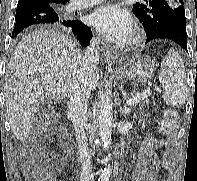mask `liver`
<instances>
[{
	"label": "liver",
	"instance_id": "obj_1",
	"mask_svg": "<svg viewBox=\"0 0 197 181\" xmlns=\"http://www.w3.org/2000/svg\"><path fill=\"white\" fill-rule=\"evenodd\" d=\"M83 55L66 35L41 29L18 43L5 75V104L11 130L25 141L32 131L35 113L45 98L70 97ZM99 81L97 68L91 88Z\"/></svg>",
	"mask_w": 197,
	"mask_h": 181
}]
</instances>
